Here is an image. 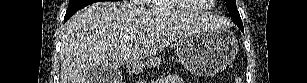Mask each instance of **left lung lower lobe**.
Masks as SVG:
<instances>
[{
  "label": "left lung lower lobe",
  "instance_id": "obj_1",
  "mask_svg": "<svg viewBox=\"0 0 307 83\" xmlns=\"http://www.w3.org/2000/svg\"><path fill=\"white\" fill-rule=\"evenodd\" d=\"M241 31H243V25L238 26Z\"/></svg>",
  "mask_w": 307,
  "mask_h": 83
}]
</instances>
